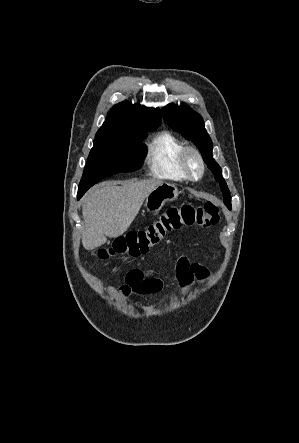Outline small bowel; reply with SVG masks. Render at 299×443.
Segmentation results:
<instances>
[{
  "mask_svg": "<svg viewBox=\"0 0 299 443\" xmlns=\"http://www.w3.org/2000/svg\"><path fill=\"white\" fill-rule=\"evenodd\" d=\"M207 277L208 272L203 266L191 263L184 255L178 258L176 278L181 289L187 290L192 286L194 280L204 281ZM162 287V279L154 272L133 269L127 274L125 282L120 285L119 293L123 297L155 294L161 291Z\"/></svg>",
  "mask_w": 299,
  "mask_h": 443,
  "instance_id": "1",
  "label": "small bowel"
}]
</instances>
